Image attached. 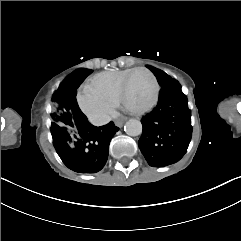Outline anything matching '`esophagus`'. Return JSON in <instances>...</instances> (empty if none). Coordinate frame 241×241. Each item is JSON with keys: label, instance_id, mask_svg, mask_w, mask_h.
Segmentation results:
<instances>
[{"label": "esophagus", "instance_id": "1", "mask_svg": "<svg viewBox=\"0 0 241 241\" xmlns=\"http://www.w3.org/2000/svg\"><path fill=\"white\" fill-rule=\"evenodd\" d=\"M126 121V117L122 118V119H118V120H115V125L119 128H121L124 124V122Z\"/></svg>", "mask_w": 241, "mask_h": 241}]
</instances>
